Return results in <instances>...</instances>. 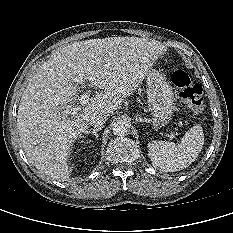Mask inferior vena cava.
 <instances>
[{
	"instance_id": "inferior-vena-cava-1",
	"label": "inferior vena cava",
	"mask_w": 233,
	"mask_h": 233,
	"mask_svg": "<svg viewBox=\"0 0 233 233\" xmlns=\"http://www.w3.org/2000/svg\"><path fill=\"white\" fill-rule=\"evenodd\" d=\"M88 123L95 127H101L107 120L106 114L103 112H93L88 116Z\"/></svg>"
}]
</instances>
